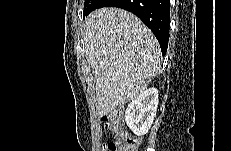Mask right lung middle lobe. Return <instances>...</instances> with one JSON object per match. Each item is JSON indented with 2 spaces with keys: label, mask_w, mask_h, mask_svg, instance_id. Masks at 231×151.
Listing matches in <instances>:
<instances>
[{
  "label": "right lung middle lobe",
  "mask_w": 231,
  "mask_h": 151,
  "mask_svg": "<svg viewBox=\"0 0 231 151\" xmlns=\"http://www.w3.org/2000/svg\"><path fill=\"white\" fill-rule=\"evenodd\" d=\"M91 3H92V1L85 0V3H84V13L86 12L87 9H89Z\"/></svg>",
  "instance_id": "obj_1"
}]
</instances>
